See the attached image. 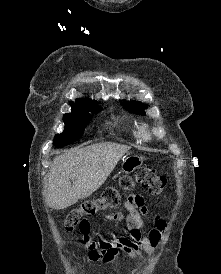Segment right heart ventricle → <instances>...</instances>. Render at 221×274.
Segmentation results:
<instances>
[{"mask_svg":"<svg viewBox=\"0 0 221 274\" xmlns=\"http://www.w3.org/2000/svg\"><path fill=\"white\" fill-rule=\"evenodd\" d=\"M127 131L135 140H141V133L137 127L131 126L127 129Z\"/></svg>","mask_w":221,"mask_h":274,"instance_id":"obj_1","label":"right heart ventricle"}]
</instances>
